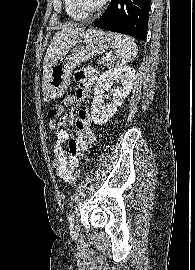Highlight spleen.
<instances>
[{"label":"spleen","mask_w":195,"mask_h":270,"mask_svg":"<svg viewBox=\"0 0 195 270\" xmlns=\"http://www.w3.org/2000/svg\"><path fill=\"white\" fill-rule=\"evenodd\" d=\"M106 34L115 49L116 55L112 59L115 66L126 65L136 57L138 48L130 37L114 32H107Z\"/></svg>","instance_id":"3e777b00"}]
</instances>
